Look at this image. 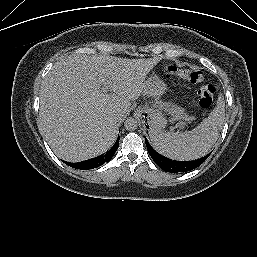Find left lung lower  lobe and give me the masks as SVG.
<instances>
[{"mask_svg": "<svg viewBox=\"0 0 257 257\" xmlns=\"http://www.w3.org/2000/svg\"><path fill=\"white\" fill-rule=\"evenodd\" d=\"M145 143L147 150L151 156V158L154 160V162L164 171L171 172V173H178V172H186L193 170L200 166L211 153L207 154L206 156L194 160V161H188V162H179V161H173L171 159H168L158 152H156L151 145L149 144L148 140L145 138Z\"/></svg>", "mask_w": 257, "mask_h": 257, "instance_id": "left-lung-lower-lobe-1", "label": "left lung lower lobe"}]
</instances>
